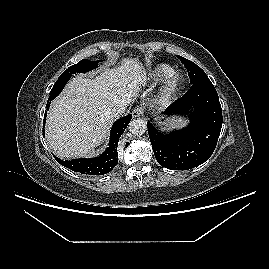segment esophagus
I'll return each instance as SVG.
<instances>
[{
	"label": "esophagus",
	"instance_id": "esophagus-1",
	"mask_svg": "<svg viewBox=\"0 0 269 269\" xmlns=\"http://www.w3.org/2000/svg\"><path fill=\"white\" fill-rule=\"evenodd\" d=\"M133 117L135 118H144L145 112L142 107H137L132 112Z\"/></svg>",
	"mask_w": 269,
	"mask_h": 269
}]
</instances>
